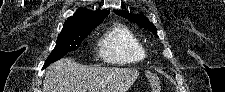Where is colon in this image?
<instances>
[{
    "label": "colon",
    "mask_w": 225,
    "mask_h": 92,
    "mask_svg": "<svg viewBox=\"0 0 225 92\" xmlns=\"http://www.w3.org/2000/svg\"><path fill=\"white\" fill-rule=\"evenodd\" d=\"M147 78L151 84V87H152V91L153 92H160L161 91V87H160V80L159 78L154 75V74H151V73H148L147 74Z\"/></svg>",
    "instance_id": "obj_1"
}]
</instances>
